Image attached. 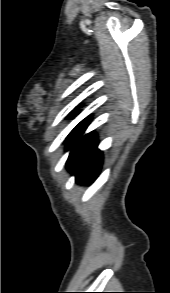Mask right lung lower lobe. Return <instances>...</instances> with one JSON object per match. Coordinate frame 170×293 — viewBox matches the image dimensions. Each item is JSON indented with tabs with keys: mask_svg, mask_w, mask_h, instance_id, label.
Here are the masks:
<instances>
[{
	"mask_svg": "<svg viewBox=\"0 0 170 293\" xmlns=\"http://www.w3.org/2000/svg\"><path fill=\"white\" fill-rule=\"evenodd\" d=\"M102 164V152L97 149V140L93 135L79 156L69 165V171L79 183H92L97 177Z\"/></svg>",
	"mask_w": 170,
	"mask_h": 293,
	"instance_id": "98d812e1",
	"label": "right lung lower lobe"
}]
</instances>
